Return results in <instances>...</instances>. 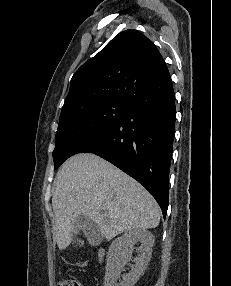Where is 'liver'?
Instances as JSON below:
<instances>
[{
  "label": "liver",
  "instance_id": "obj_1",
  "mask_svg": "<svg viewBox=\"0 0 231 286\" xmlns=\"http://www.w3.org/2000/svg\"><path fill=\"white\" fill-rule=\"evenodd\" d=\"M58 248L73 240V221L91 218L107 241L120 233L158 226L160 207L135 179L101 157L81 153L69 158L57 174L52 197Z\"/></svg>",
  "mask_w": 231,
  "mask_h": 286
}]
</instances>
